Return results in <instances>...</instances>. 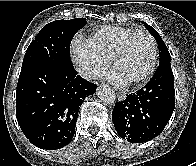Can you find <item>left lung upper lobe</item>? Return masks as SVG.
I'll list each match as a JSON object with an SVG mask.
<instances>
[{
    "instance_id": "left-lung-upper-lobe-1",
    "label": "left lung upper lobe",
    "mask_w": 196,
    "mask_h": 166,
    "mask_svg": "<svg viewBox=\"0 0 196 166\" xmlns=\"http://www.w3.org/2000/svg\"><path fill=\"white\" fill-rule=\"evenodd\" d=\"M144 25L148 29V31L155 37V39L158 43V47H159V51H160L159 52V54H160L159 64L170 62L171 61L170 53H169L164 41L160 37V35L157 33V31L153 27H151L147 23L144 22Z\"/></svg>"
}]
</instances>
